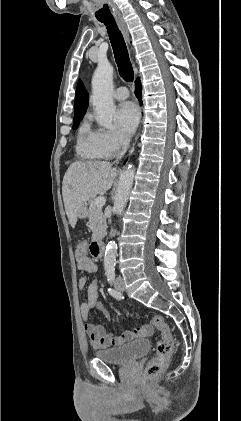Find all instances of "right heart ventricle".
Masks as SVG:
<instances>
[{
  "label": "right heart ventricle",
  "mask_w": 241,
  "mask_h": 421,
  "mask_svg": "<svg viewBox=\"0 0 241 421\" xmlns=\"http://www.w3.org/2000/svg\"><path fill=\"white\" fill-rule=\"evenodd\" d=\"M76 149L79 156L84 159L105 158L99 148L96 131H93L86 121L79 128Z\"/></svg>",
  "instance_id": "1"
}]
</instances>
